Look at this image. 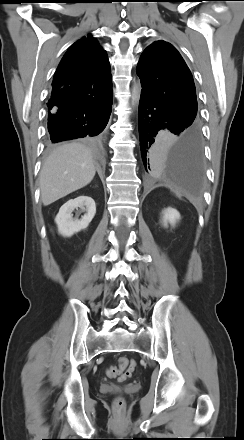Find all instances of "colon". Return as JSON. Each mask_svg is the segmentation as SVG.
I'll list each match as a JSON object with an SVG mask.
<instances>
[{
	"label": "colon",
	"instance_id": "5ec220e1",
	"mask_svg": "<svg viewBox=\"0 0 244 440\" xmlns=\"http://www.w3.org/2000/svg\"><path fill=\"white\" fill-rule=\"evenodd\" d=\"M136 367V362L134 360H129L126 357L119 358L116 365L110 366L107 369V375L110 378H118L120 381H124L131 376ZM114 405L117 408H122L124 405V399L122 397H117L114 400Z\"/></svg>",
	"mask_w": 244,
	"mask_h": 440
}]
</instances>
